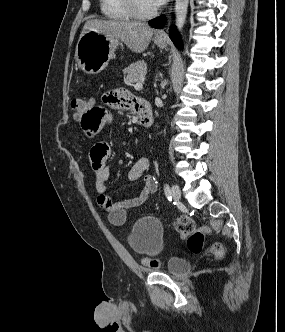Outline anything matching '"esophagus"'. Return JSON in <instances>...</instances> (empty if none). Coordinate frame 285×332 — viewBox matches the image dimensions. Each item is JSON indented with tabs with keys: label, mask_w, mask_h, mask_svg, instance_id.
Returning a JSON list of instances; mask_svg holds the SVG:
<instances>
[{
	"label": "esophagus",
	"mask_w": 285,
	"mask_h": 332,
	"mask_svg": "<svg viewBox=\"0 0 285 332\" xmlns=\"http://www.w3.org/2000/svg\"><path fill=\"white\" fill-rule=\"evenodd\" d=\"M165 36H166L165 28H162L156 32V37H165Z\"/></svg>",
	"instance_id": "obj_1"
}]
</instances>
